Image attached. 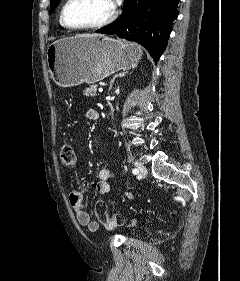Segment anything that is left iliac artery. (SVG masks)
<instances>
[{
	"instance_id": "44dca946",
	"label": "left iliac artery",
	"mask_w": 240,
	"mask_h": 281,
	"mask_svg": "<svg viewBox=\"0 0 240 281\" xmlns=\"http://www.w3.org/2000/svg\"><path fill=\"white\" fill-rule=\"evenodd\" d=\"M132 173L136 175V174L139 173V170H138L137 168H134V169L132 170Z\"/></svg>"
}]
</instances>
